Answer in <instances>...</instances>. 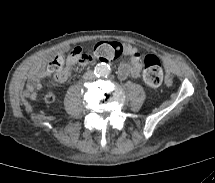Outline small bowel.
Masks as SVG:
<instances>
[{"label": "small bowel", "mask_w": 215, "mask_h": 183, "mask_svg": "<svg viewBox=\"0 0 215 183\" xmlns=\"http://www.w3.org/2000/svg\"><path fill=\"white\" fill-rule=\"evenodd\" d=\"M126 59L128 62H124L118 69V76L120 79H125L129 76L138 77L140 75L141 67L140 64L143 59V53L141 49L132 47L129 44L125 45ZM77 63L75 58L70 54L68 63L64 71L60 74L54 75L42 66H39L34 73L30 76L27 82V96L29 98L37 97V91L42 87L43 81L47 78L52 77L57 82H62L67 78L68 73Z\"/></svg>", "instance_id": "obj_1"}]
</instances>
